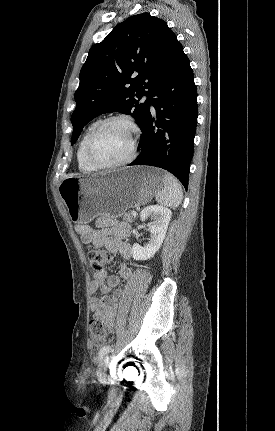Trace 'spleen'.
Here are the masks:
<instances>
[{"instance_id":"spleen-1","label":"spleen","mask_w":275,"mask_h":431,"mask_svg":"<svg viewBox=\"0 0 275 431\" xmlns=\"http://www.w3.org/2000/svg\"><path fill=\"white\" fill-rule=\"evenodd\" d=\"M183 192L178 180L166 173L163 178V188L156 195V201L170 208H177L182 202Z\"/></svg>"}]
</instances>
